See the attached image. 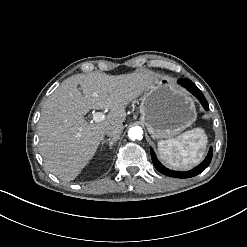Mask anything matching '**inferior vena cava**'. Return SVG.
<instances>
[{
    "label": "inferior vena cava",
    "mask_w": 247,
    "mask_h": 247,
    "mask_svg": "<svg viewBox=\"0 0 247 247\" xmlns=\"http://www.w3.org/2000/svg\"><path fill=\"white\" fill-rule=\"evenodd\" d=\"M123 130L124 126L122 123H113L105 128V134L113 139H117L119 135L122 134Z\"/></svg>",
    "instance_id": "inferior-vena-cava-1"
}]
</instances>
